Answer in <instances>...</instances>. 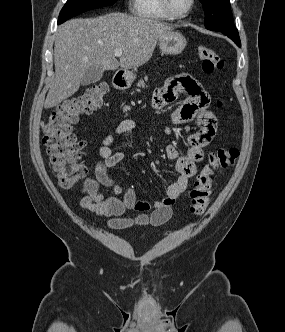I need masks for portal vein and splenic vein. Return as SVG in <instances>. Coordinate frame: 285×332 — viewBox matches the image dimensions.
Returning <instances> with one entry per match:
<instances>
[{"instance_id": "18ae733b", "label": "portal vein and splenic vein", "mask_w": 285, "mask_h": 332, "mask_svg": "<svg viewBox=\"0 0 285 332\" xmlns=\"http://www.w3.org/2000/svg\"><path fill=\"white\" fill-rule=\"evenodd\" d=\"M122 54H123V52H122L121 49H116V50L114 51V55H115L116 57H120V56H122Z\"/></svg>"}]
</instances>
